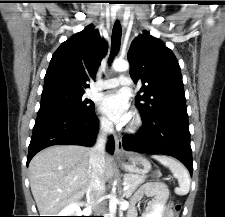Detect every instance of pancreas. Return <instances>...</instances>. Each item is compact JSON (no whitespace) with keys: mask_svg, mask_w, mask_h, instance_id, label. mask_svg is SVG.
<instances>
[{"mask_svg":"<svg viewBox=\"0 0 225 217\" xmlns=\"http://www.w3.org/2000/svg\"><path fill=\"white\" fill-rule=\"evenodd\" d=\"M147 176L145 175H138V174H126L124 175V183L129 187L127 191L124 192L126 197L132 195V193L136 190V188L145 182ZM160 194L164 199H168L169 197V190L166 186H162Z\"/></svg>","mask_w":225,"mask_h":217,"instance_id":"obj_1","label":"pancreas"}]
</instances>
